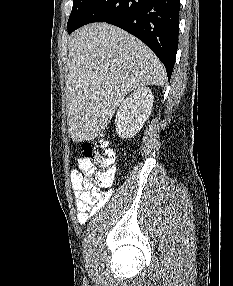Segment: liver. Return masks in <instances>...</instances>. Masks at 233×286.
<instances>
[{
	"instance_id": "liver-1",
	"label": "liver",
	"mask_w": 233,
	"mask_h": 286,
	"mask_svg": "<svg viewBox=\"0 0 233 286\" xmlns=\"http://www.w3.org/2000/svg\"><path fill=\"white\" fill-rule=\"evenodd\" d=\"M67 65L68 131L75 142L98 137L129 92L166 80L146 45L107 23L86 25L72 35Z\"/></svg>"
}]
</instances>
